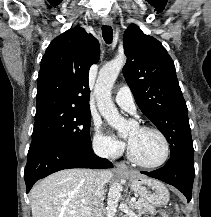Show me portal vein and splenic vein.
Listing matches in <instances>:
<instances>
[{
    "label": "portal vein and splenic vein",
    "instance_id": "18ae733b",
    "mask_svg": "<svg viewBox=\"0 0 211 217\" xmlns=\"http://www.w3.org/2000/svg\"><path fill=\"white\" fill-rule=\"evenodd\" d=\"M131 201H132V202H136V198L132 197V198H131Z\"/></svg>",
    "mask_w": 211,
    "mask_h": 217
}]
</instances>
